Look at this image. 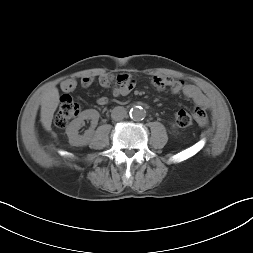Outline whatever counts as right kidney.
I'll use <instances>...</instances> for the list:
<instances>
[{"mask_svg": "<svg viewBox=\"0 0 253 253\" xmlns=\"http://www.w3.org/2000/svg\"><path fill=\"white\" fill-rule=\"evenodd\" d=\"M85 119L91 120V126L89 130H86L84 135H79L78 130L84 123ZM99 120V113L95 109H88L80 113V115L70 122L68 127L66 128V134L69 139V143L72 146H85L88 145L92 135L93 128L96 127Z\"/></svg>", "mask_w": 253, "mask_h": 253, "instance_id": "ca27d5eb", "label": "right kidney"}]
</instances>
